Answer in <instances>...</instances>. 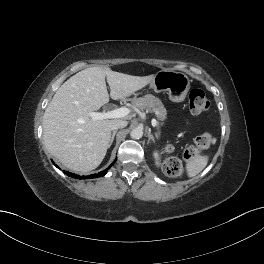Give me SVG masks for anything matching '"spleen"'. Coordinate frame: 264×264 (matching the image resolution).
Listing matches in <instances>:
<instances>
[{
	"mask_svg": "<svg viewBox=\"0 0 264 264\" xmlns=\"http://www.w3.org/2000/svg\"><path fill=\"white\" fill-rule=\"evenodd\" d=\"M208 163V156L197 155L188 160L186 164V171L189 177H194L200 173Z\"/></svg>",
	"mask_w": 264,
	"mask_h": 264,
	"instance_id": "obj_1",
	"label": "spleen"
}]
</instances>
